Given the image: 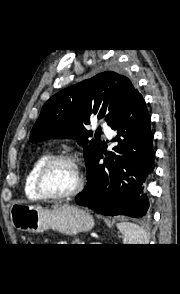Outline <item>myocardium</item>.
I'll use <instances>...</instances> for the list:
<instances>
[{"instance_id":"f54148a6","label":"myocardium","mask_w":180,"mask_h":294,"mask_svg":"<svg viewBox=\"0 0 180 294\" xmlns=\"http://www.w3.org/2000/svg\"><path fill=\"white\" fill-rule=\"evenodd\" d=\"M59 162H67L69 164H71L72 166H74V168L76 169L77 175H78V183L76 185V187L71 190L68 193L65 194H59V195H55V194H50L48 192H46V190L44 189V185H43V181H44V177L46 175V173L48 172V170L55 164L59 163ZM85 186V177L83 172L81 171L76 159L68 154H59V155H53L50 156L38 169L36 176H35V189L38 193V195L45 200H51V201H62V200H67V199H71L77 195H79L82 190L84 189Z\"/></svg>"}]
</instances>
